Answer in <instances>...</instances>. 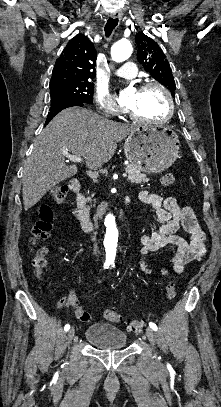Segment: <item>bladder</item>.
<instances>
[{
  "instance_id": "31cf9c89",
  "label": "bladder",
  "mask_w": 221,
  "mask_h": 407,
  "mask_svg": "<svg viewBox=\"0 0 221 407\" xmlns=\"http://www.w3.org/2000/svg\"><path fill=\"white\" fill-rule=\"evenodd\" d=\"M85 340L97 348L114 349L126 344L127 335L113 325L94 323L86 328Z\"/></svg>"
}]
</instances>
